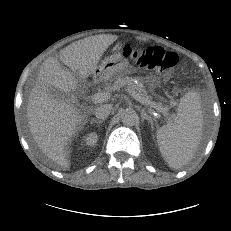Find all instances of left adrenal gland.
<instances>
[{
  "label": "left adrenal gland",
  "mask_w": 231,
  "mask_h": 231,
  "mask_svg": "<svg viewBox=\"0 0 231 231\" xmlns=\"http://www.w3.org/2000/svg\"><path fill=\"white\" fill-rule=\"evenodd\" d=\"M141 117L143 120H147L151 124L152 129H154V120L146 113L145 109H141Z\"/></svg>",
  "instance_id": "a2214340"
}]
</instances>
